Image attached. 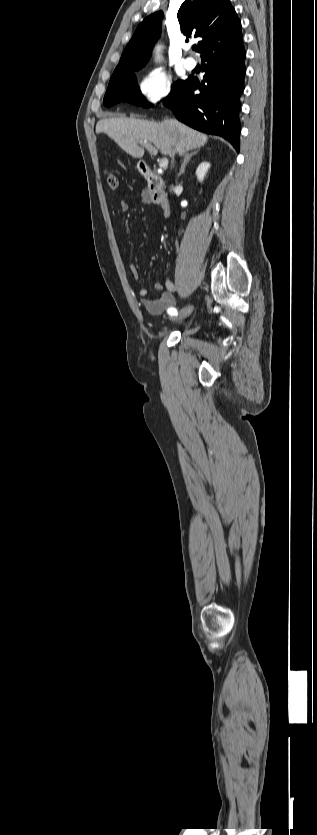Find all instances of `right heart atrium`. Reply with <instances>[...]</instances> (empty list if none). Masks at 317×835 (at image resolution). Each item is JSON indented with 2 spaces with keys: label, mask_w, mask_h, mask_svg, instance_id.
Here are the masks:
<instances>
[{
  "label": "right heart atrium",
  "mask_w": 317,
  "mask_h": 835,
  "mask_svg": "<svg viewBox=\"0 0 317 835\" xmlns=\"http://www.w3.org/2000/svg\"><path fill=\"white\" fill-rule=\"evenodd\" d=\"M138 89L146 104L157 105L171 94L172 78L160 68L152 69L140 78Z\"/></svg>",
  "instance_id": "obj_1"
}]
</instances>
